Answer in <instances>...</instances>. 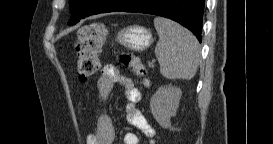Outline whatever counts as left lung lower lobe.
<instances>
[{"mask_svg": "<svg viewBox=\"0 0 273 144\" xmlns=\"http://www.w3.org/2000/svg\"><path fill=\"white\" fill-rule=\"evenodd\" d=\"M88 1V0H87ZM205 0H96L87 12L72 16L68 25H74L85 17L107 12H140L172 19L189 30L201 42Z\"/></svg>", "mask_w": 273, "mask_h": 144, "instance_id": "0a47b994", "label": "left lung lower lobe"}]
</instances>
